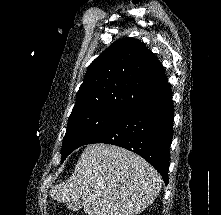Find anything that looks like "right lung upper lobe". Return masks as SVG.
<instances>
[{
    "label": "right lung upper lobe",
    "instance_id": "1",
    "mask_svg": "<svg viewBox=\"0 0 221 215\" xmlns=\"http://www.w3.org/2000/svg\"><path fill=\"white\" fill-rule=\"evenodd\" d=\"M166 84L163 66L145 44L122 38L88 67L72 113L101 110L123 115Z\"/></svg>",
    "mask_w": 221,
    "mask_h": 215
}]
</instances>
